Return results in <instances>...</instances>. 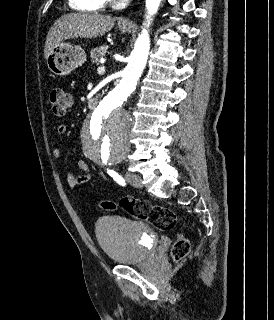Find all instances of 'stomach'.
Masks as SVG:
<instances>
[{
	"label": "stomach",
	"instance_id": "0dacf381",
	"mask_svg": "<svg viewBox=\"0 0 274 320\" xmlns=\"http://www.w3.org/2000/svg\"><path fill=\"white\" fill-rule=\"evenodd\" d=\"M132 26H118V30L125 34L129 32ZM86 62V54L84 50L78 48V46H71V44H60L53 48L47 58V66L54 74V76H68L73 70L79 68Z\"/></svg>",
	"mask_w": 274,
	"mask_h": 320
}]
</instances>
